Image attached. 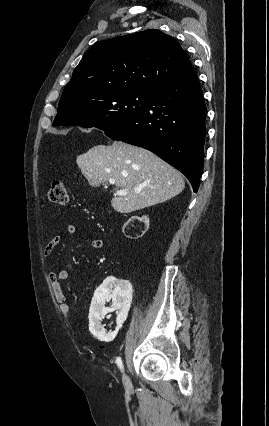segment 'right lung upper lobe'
Listing matches in <instances>:
<instances>
[{"label":"right lung upper lobe","instance_id":"cb5924a9","mask_svg":"<svg viewBox=\"0 0 269 426\" xmlns=\"http://www.w3.org/2000/svg\"><path fill=\"white\" fill-rule=\"evenodd\" d=\"M193 71L171 36L156 29L99 42L75 68L61 98L83 99L123 91L151 92Z\"/></svg>","mask_w":269,"mask_h":426}]
</instances>
